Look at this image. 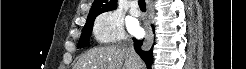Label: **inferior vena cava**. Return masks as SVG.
Wrapping results in <instances>:
<instances>
[{"label": "inferior vena cava", "instance_id": "obj_1", "mask_svg": "<svg viewBox=\"0 0 246 69\" xmlns=\"http://www.w3.org/2000/svg\"><path fill=\"white\" fill-rule=\"evenodd\" d=\"M123 47L126 48L130 52V59L132 60L134 66H135V67H133V69H139V67H138L139 56L134 51L133 44L131 42L125 41L123 43Z\"/></svg>", "mask_w": 246, "mask_h": 69}]
</instances>
